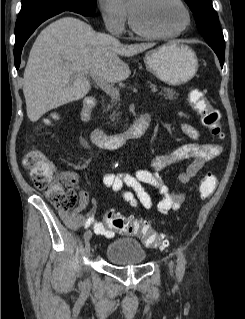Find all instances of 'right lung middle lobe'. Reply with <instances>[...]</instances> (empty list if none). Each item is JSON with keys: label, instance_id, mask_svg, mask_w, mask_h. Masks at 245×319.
I'll use <instances>...</instances> for the list:
<instances>
[{"label": "right lung middle lobe", "instance_id": "dd1d6c3e", "mask_svg": "<svg viewBox=\"0 0 245 319\" xmlns=\"http://www.w3.org/2000/svg\"><path fill=\"white\" fill-rule=\"evenodd\" d=\"M95 7L96 0H22L18 19L58 8L75 10L83 16H92Z\"/></svg>", "mask_w": 245, "mask_h": 319}]
</instances>
